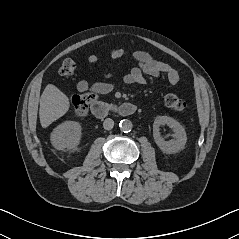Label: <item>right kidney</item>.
<instances>
[{
	"label": "right kidney",
	"instance_id": "ca27d5eb",
	"mask_svg": "<svg viewBox=\"0 0 239 239\" xmlns=\"http://www.w3.org/2000/svg\"><path fill=\"white\" fill-rule=\"evenodd\" d=\"M81 130V125L78 122L66 121L53 130L51 143L57 149H72L80 142Z\"/></svg>",
	"mask_w": 239,
	"mask_h": 239
}]
</instances>
